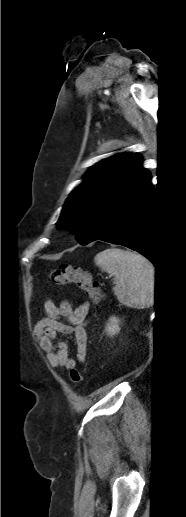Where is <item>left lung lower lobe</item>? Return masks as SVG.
<instances>
[{
  "label": "left lung lower lobe",
  "mask_w": 186,
  "mask_h": 517,
  "mask_svg": "<svg viewBox=\"0 0 186 517\" xmlns=\"http://www.w3.org/2000/svg\"><path fill=\"white\" fill-rule=\"evenodd\" d=\"M150 180L146 171L105 214L90 242L102 240L126 246L144 255L158 268L153 249L154 192Z\"/></svg>",
  "instance_id": "1"
}]
</instances>
